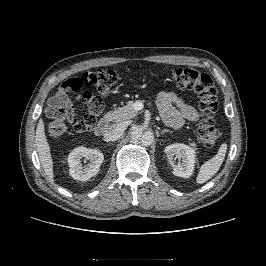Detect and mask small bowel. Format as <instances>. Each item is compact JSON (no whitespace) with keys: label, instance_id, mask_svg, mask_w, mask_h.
I'll list each match as a JSON object with an SVG mask.
<instances>
[{"label":"small bowel","instance_id":"obj_1","mask_svg":"<svg viewBox=\"0 0 266 266\" xmlns=\"http://www.w3.org/2000/svg\"><path fill=\"white\" fill-rule=\"evenodd\" d=\"M157 104L164 122L171 128L181 127L185 120L197 121L199 118L197 110L174 92H161L158 95ZM73 112L74 104L69 96H65L58 115L67 118Z\"/></svg>","mask_w":266,"mask_h":266}]
</instances>
